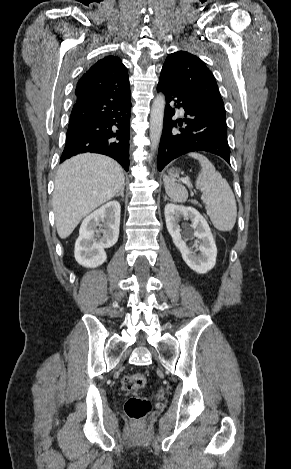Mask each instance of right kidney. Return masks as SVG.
Returning <instances> with one entry per match:
<instances>
[{"instance_id":"right-kidney-1","label":"right kidney","mask_w":291,"mask_h":469,"mask_svg":"<svg viewBox=\"0 0 291 469\" xmlns=\"http://www.w3.org/2000/svg\"><path fill=\"white\" fill-rule=\"evenodd\" d=\"M120 210L119 202L111 201L83 220L74 251L75 259L81 266L95 268L106 261L104 249L112 247L118 240ZM98 226L103 229L97 230Z\"/></svg>"}]
</instances>
